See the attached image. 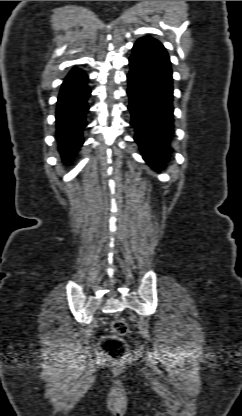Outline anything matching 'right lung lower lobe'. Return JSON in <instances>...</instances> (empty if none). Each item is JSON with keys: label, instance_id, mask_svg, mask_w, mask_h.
Instances as JSON below:
<instances>
[{"label": "right lung lower lobe", "instance_id": "obj_1", "mask_svg": "<svg viewBox=\"0 0 242 416\" xmlns=\"http://www.w3.org/2000/svg\"><path fill=\"white\" fill-rule=\"evenodd\" d=\"M87 75L72 69L62 84L56 110V130L59 152L69 164L84 143L83 130L87 126V99L91 94Z\"/></svg>", "mask_w": 242, "mask_h": 416}]
</instances>
